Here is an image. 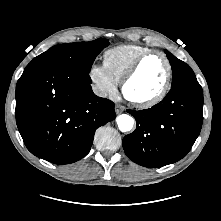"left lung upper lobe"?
Listing matches in <instances>:
<instances>
[{
	"label": "left lung upper lobe",
	"mask_w": 221,
	"mask_h": 221,
	"mask_svg": "<svg viewBox=\"0 0 221 221\" xmlns=\"http://www.w3.org/2000/svg\"><path fill=\"white\" fill-rule=\"evenodd\" d=\"M165 52L172 67V86L189 79H196L193 70L188 64L179 60L167 50Z\"/></svg>",
	"instance_id": "1"
}]
</instances>
